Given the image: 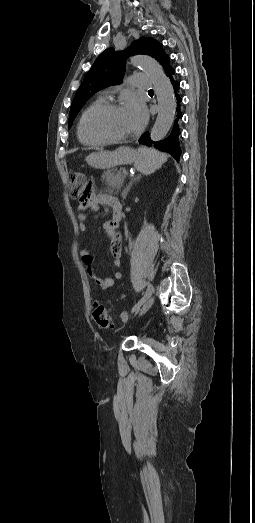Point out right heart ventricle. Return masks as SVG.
<instances>
[{"label": "right heart ventricle", "mask_w": 255, "mask_h": 523, "mask_svg": "<svg viewBox=\"0 0 255 523\" xmlns=\"http://www.w3.org/2000/svg\"><path fill=\"white\" fill-rule=\"evenodd\" d=\"M105 100L104 96H98L97 98L93 99L85 108L84 110L82 111L81 113V116L79 118V121H78V126H77V135H78V138L79 140L83 143V144H86V145H96L98 144V142H95V141H92L90 139H88L83 131H82V127H81V122H82V119L85 115V113L91 108L93 107L94 105L98 104V103H101Z\"/></svg>", "instance_id": "1"}]
</instances>
